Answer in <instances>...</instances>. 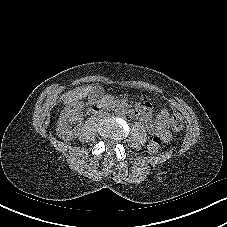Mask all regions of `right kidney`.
<instances>
[{
  "mask_svg": "<svg viewBox=\"0 0 227 227\" xmlns=\"http://www.w3.org/2000/svg\"><path fill=\"white\" fill-rule=\"evenodd\" d=\"M74 114H75V110L71 109L70 106L65 108L64 111L61 113V116L59 118V121H58L59 125H58L57 130L59 131L63 128H67L68 122H71V124H72V122L74 120H76L74 118ZM67 119H68V122H67Z\"/></svg>",
  "mask_w": 227,
  "mask_h": 227,
  "instance_id": "ca27d5eb",
  "label": "right kidney"
}]
</instances>
